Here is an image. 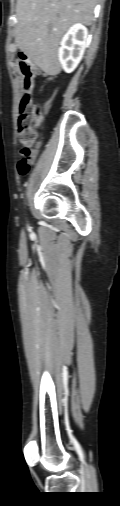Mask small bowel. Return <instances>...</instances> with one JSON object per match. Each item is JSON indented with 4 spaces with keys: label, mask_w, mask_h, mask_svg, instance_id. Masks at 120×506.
I'll return each instance as SVG.
<instances>
[{
    "label": "small bowel",
    "mask_w": 120,
    "mask_h": 506,
    "mask_svg": "<svg viewBox=\"0 0 120 506\" xmlns=\"http://www.w3.org/2000/svg\"><path fill=\"white\" fill-rule=\"evenodd\" d=\"M32 87H33V84H32V86H31L30 90L32 89ZM49 107H50V104H49V103H45V104L43 105L42 109H43V111H44V112H47V111L49 110ZM41 118H42V117L40 116V120H41Z\"/></svg>",
    "instance_id": "c3829d8e"
}]
</instances>
